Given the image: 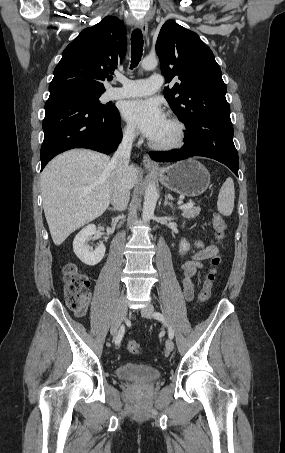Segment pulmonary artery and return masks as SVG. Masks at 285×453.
Masks as SVG:
<instances>
[{
  "label": "pulmonary artery",
  "mask_w": 285,
  "mask_h": 453,
  "mask_svg": "<svg viewBox=\"0 0 285 453\" xmlns=\"http://www.w3.org/2000/svg\"><path fill=\"white\" fill-rule=\"evenodd\" d=\"M120 87L112 88L108 91L109 99L134 98L153 94L164 82V78L159 73L152 74L147 79H127L119 78Z\"/></svg>",
  "instance_id": "e3ab8cb5"
}]
</instances>
